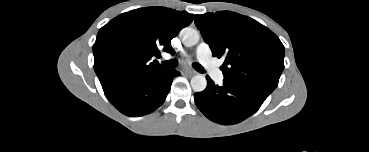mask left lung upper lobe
Masks as SVG:
<instances>
[{"instance_id":"5c2ea615","label":"left lung upper lobe","mask_w":369,"mask_h":152,"mask_svg":"<svg viewBox=\"0 0 369 152\" xmlns=\"http://www.w3.org/2000/svg\"><path fill=\"white\" fill-rule=\"evenodd\" d=\"M195 24L213 56L224 57V80L272 92L284 69V46L264 25L238 13L195 15Z\"/></svg>"}]
</instances>
